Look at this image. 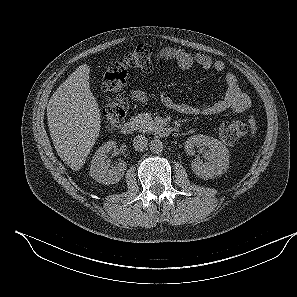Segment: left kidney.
Wrapping results in <instances>:
<instances>
[{
    "label": "left kidney",
    "mask_w": 297,
    "mask_h": 297,
    "mask_svg": "<svg viewBox=\"0 0 297 297\" xmlns=\"http://www.w3.org/2000/svg\"><path fill=\"white\" fill-rule=\"evenodd\" d=\"M195 147L208 149L204 153L205 163L200 158H195L191 163L192 171L198 177L211 179L226 172L229 167V150L222 142L213 137L197 134L186 140V153L194 154Z\"/></svg>",
    "instance_id": "obj_1"
}]
</instances>
